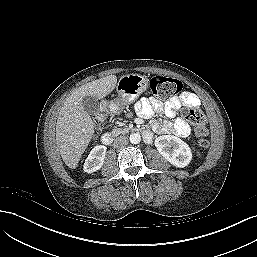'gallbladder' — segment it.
<instances>
[{"label": "gallbladder", "mask_w": 257, "mask_h": 257, "mask_svg": "<svg viewBox=\"0 0 257 257\" xmlns=\"http://www.w3.org/2000/svg\"><path fill=\"white\" fill-rule=\"evenodd\" d=\"M82 105L84 110L89 114V115H96L99 110V101L96 97L94 96H86L82 100Z\"/></svg>", "instance_id": "bac80fb5"}]
</instances>
